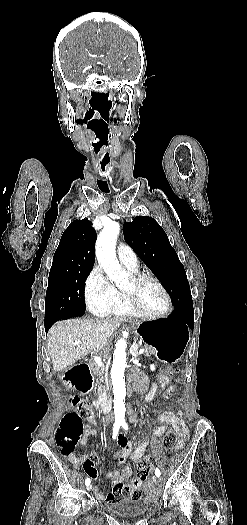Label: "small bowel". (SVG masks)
<instances>
[{
	"label": "small bowel",
	"mask_w": 247,
	"mask_h": 525,
	"mask_svg": "<svg viewBox=\"0 0 247 525\" xmlns=\"http://www.w3.org/2000/svg\"><path fill=\"white\" fill-rule=\"evenodd\" d=\"M158 388L159 387L151 386L147 393L144 395V400L146 402H149L151 399H156L157 397H159L160 394L157 392ZM172 388L173 387H170L169 389L164 390L170 391ZM168 426H173L181 439H183L184 441L187 439L188 431L181 418L173 411H167L161 414L156 419V421L148 428V430L139 436L138 444L134 441H130L123 433H117L115 436V441L119 446V449L113 456L114 461H116L120 466H123L128 458L134 463L140 462V460L143 458L148 449L150 443V435L152 439H157L165 433ZM89 439L90 433H85L80 440L81 445L86 446ZM152 455L158 463L163 462L164 458L158 450H154ZM68 459L75 469H80V467L83 466L86 473L89 475V473L91 472L89 467L91 464L94 465V461L98 460V456L91 455L90 457H88L87 455L76 456L71 454L69 455ZM99 466H102V463H99ZM131 475L132 470L128 467H122L119 471H114L105 474L104 479L110 480L113 483V489L107 495H103V489L97 487L93 491L94 496L97 498H103L104 506H120L121 487L124 484V482H126L131 477ZM89 476L91 477V480H98V475ZM125 488L127 490L131 489L132 491H134L136 496L130 498V500L132 501L139 500L143 493V490L141 488V482L138 479L132 480L131 484L127 483L125 485Z\"/></svg>",
	"instance_id": "small-bowel-1"
}]
</instances>
